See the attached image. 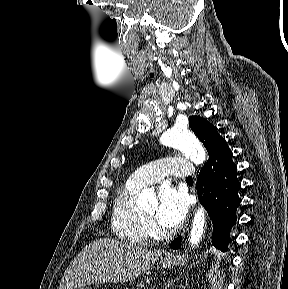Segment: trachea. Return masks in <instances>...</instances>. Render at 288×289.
I'll return each mask as SVG.
<instances>
[{
  "mask_svg": "<svg viewBox=\"0 0 288 289\" xmlns=\"http://www.w3.org/2000/svg\"><path fill=\"white\" fill-rule=\"evenodd\" d=\"M186 180H193L192 177H188Z\"/></svg>",
  "mask_w": 288,
  "mask_h": 289,
  "instance_id": "obj_1",
  "label": "trachea"
}]
</instances>
